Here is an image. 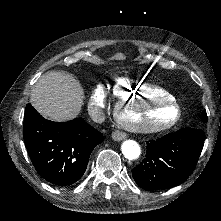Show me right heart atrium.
<instances>
[{"label":"right heart atrium","mask_w":221,"mask_h":221,"mask_svg":"<svg viewBox=\"0 0 221 221\" xmlns=\"http://www.w3.org/2000/svg\"><path fill=\"white\" fill-rule=\"evenodd\" d=\"M106 91H107V88H106V86L105 85H103V84H100V85H98L97 87H96V89H95V100H96V102L97 103H99V104H102V103H104L105 102V100H106Z\"/></svg>","instance_id":"right-heart-atrium-1"}]
</instances>
